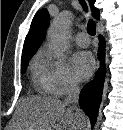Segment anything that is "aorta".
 <instances>
[{"label":"aorta","mask_w":123,"mask_h":130,"mask_svg":"<svg viewBox=\"0 0 123 130\" xmlns=\"http://www.w3.org/2000/svg\"><path fill=\"white\" fill-rule=\"evenodd\" d=\"M71 18L72 13L70 11L61 12L48 30L51 49L58 58L64 54L69 45Z\"/></svg>","instance_id":"1"}]
</instances>
